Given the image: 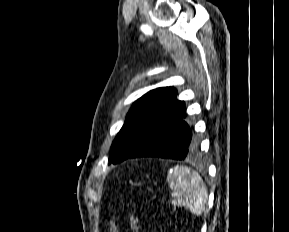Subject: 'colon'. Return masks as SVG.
<instances>
[{
  "label": "colon",
  "mask_w": 289,
  "mask_h": 232,
  "mask_svg": "<svg viewBox=\"0 0 289 232\" xmlns=\"http://www.w3.org/2000/svg\"><path fill=\"white\" fill-rule=\"evenodd\" d=\"M128 219L131 226L132 232H138L140 227V221L133 211H129ZM109 232H119L118 230V223L115 219H111L109 223Z\"/></svg>",
  "instance_id": "5ec220e1"
}]
</instances>
